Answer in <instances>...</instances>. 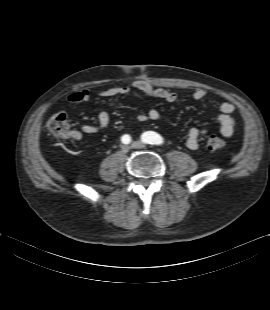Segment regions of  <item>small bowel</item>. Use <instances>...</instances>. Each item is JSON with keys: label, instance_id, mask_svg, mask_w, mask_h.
Segmentation results:
<instances>
[{"label": "small bowel", "instance_id": "small-bowel-1", "mask_svg": "<svg viewBox=\"0 0 270 310\" xmlns=\"http://www.w3.org/2000/svg\"><path fill=\"white\" fill-rule=\"evenodd\" d=\"M132 94L135 97H148L157 100H163L168 103H173L178 99V95L170 90L155 88L149 83L143 80H136L130 86H114L107 89H103L98 92V96L101 98H113L118 96H125ZM190 97L193 100L201 101L208 99V93L202 89H195ZM91 98V94L86 89H80L70 93L67 96V100L71 103H83L88 102ZM220 114L217 121L220 125V132L225 137L232 136L234 132L235 121L233 113L235 106L230 102H222L219 105ZM139 122L144 123L148 120L157 121L160 119V112L156 109H150L146 113H141L137 116ZM110 123V114L103 110L99 112L97 116L96 124H81L79 131L75 132V139H80L82 133L95 134L104 130ZM205 133L204 129L197 127H191L186 136V146L191 150H196L199 147V137Z\"/></svg>", "mask_w": 270, "mask_h": 310}]
</instances>
